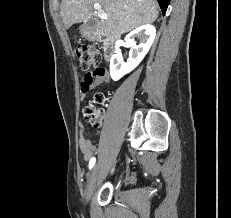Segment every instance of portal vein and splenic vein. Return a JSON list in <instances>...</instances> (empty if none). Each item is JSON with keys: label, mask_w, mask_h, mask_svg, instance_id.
Wrapping results in <instances>:
<instances>
[{"label": "portal vein and splenic vein", "mask_w": 231, "mask_h": 218, "mask_svg": "<svg viewBox=\"0 0 231 218\" xmlns=\"http://www.w3.org/2000/svg\"><path fill=\"white\" fill-rule=\"evenodd\" d=\"M94 9H96L98 11V16L101 19H107V15L102 11V7L99 3L94 4Z\"/></svg>", "instance_id": "1"}]
</instances>
